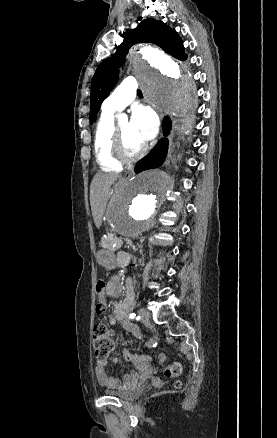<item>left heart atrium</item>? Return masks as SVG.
Segmentation results:
<instances>
[{"instance_id": "obj_1", "label": "left heart atrium", "mask_w": 277, "mask_h": 438, "mask_svg": "<svg viewBox=\"0 0 277 438\" xmlns=\"http://www.w3.org/2000/svg\"><path fill=\"white\" fill-rule=\"evenodd\" d=\"M131 127L141 148H145L156 133L157 122L153 112L148 107H135L132 110Z\"/></svg>"}]
</instances>
